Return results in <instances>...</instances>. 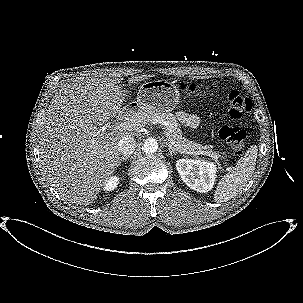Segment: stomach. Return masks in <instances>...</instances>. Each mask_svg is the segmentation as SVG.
Segmentation results:
<instances>
[{
	"mask_svg": "<svg viewBox=\"0 0 303 303\" xmlns=\"http://www.w3.org/2000/svg\"><path fill=\"white\" fill-rule=\"evenodd\" d=\"M180 94L173 82L146 81L137 93L136 105L140 112H170L179 103Z\"/></svg>",
	"mask_w": 303,
	"mask_h": 303,
	"instance_id": "stomach-1",
	"label": "stomach"
}]
</instances>
